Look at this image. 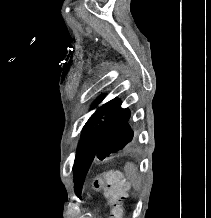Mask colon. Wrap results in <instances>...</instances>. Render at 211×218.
Listing matches in <instances>:
<instances>
[{
    "label": "colon",
    "instance_id": "1",
    "mask_svg": "<svg viewBox=\"0 0 211 218\" xmlns=\"http://www.w3.org/2000/svg\"><path fill=\"white\" fill-rule=\"evenodd\" d=\"M96 191L102 190L108 199L110 214L108 218H122L123 201L127 197L129 185L119 170H108L97 175L93 181Z\"/></svg>",
    "mask_w": 211,
    "mask_h": 218
}]
</instances>
